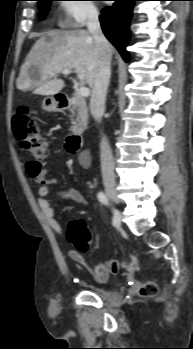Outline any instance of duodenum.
Masks as SVG:
<instances>
[{"mask_svg": "<svg viewBox=\"0 0 193 349\" xmlns=\"http://www.w3.org/2000/svg\"><path fill=\"white\" fill-rule=\"evenodd\" d=\"M56 101L60 108H67L71 105V98L70 97H64V96H58L56 98ZM82 135L79 133H73L71 134L66 141V149L68 152L72 155H77L78 152L81 149L82 145Z\"/></svg>", "mask_w": 193, "mask_h": 349, "instance_id": "410a0bca", "label": "duodenum"}]
</instances>
